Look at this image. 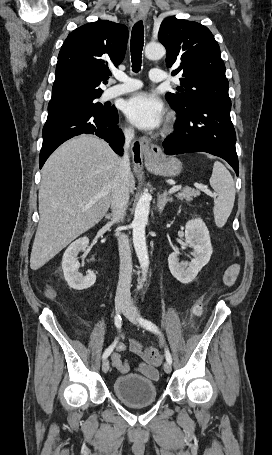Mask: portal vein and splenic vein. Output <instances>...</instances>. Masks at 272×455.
<instances>
[{
    "label": "portal vein and splenic vein",
    "instance_id": "18ae733b",
    "mask_svg": "<svg viewBox=\"0 0 272 455\" xmlns=\"http://www.w3.org/2000/svg\"><path fill=\"white\" fill-rule=\"evenodd\" d=\"M181 189V186H173L172 188L169 189V194H172V193H175V192H178L179 190ZM214 195V194H212Z\"/></svg>",
    "mask_w": 272,
    "mask_h": 455
}]
</instances>
